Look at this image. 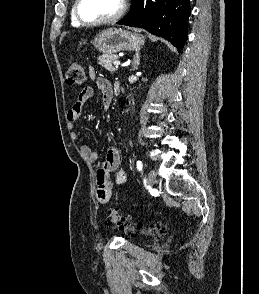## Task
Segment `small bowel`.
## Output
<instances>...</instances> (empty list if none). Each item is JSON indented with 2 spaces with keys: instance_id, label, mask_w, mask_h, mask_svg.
<instances>
[{
  "instance_id": "1",
  "label": "small bowel",
  "mask_w": 259,
  "mask_h": 294,
  "mask_svg": "<svg viewBox=\"0 0 259 294\" xmlns=\"http://www.w3.org/2000/svg\"><path fill=\"white\" fill-rule=\"evenodd\" d=\"M91 79L96 80L97 87L101 93V102L105 109H108L113 96L119 93L121 86L120 83L112 85L107 79L96 78L95 71L89 70ZM94 95V89L90 86L83 88L77 96L76 101L67 113V120L70 124H74L89 99ZM72 137L76 138L77 134L72 133ZM80 149L89 160L94 163L96 161L95 151L86 144L80 146ZM120 152L116 146H111L106 154V159L103 165L96 171V197L99 203L106 204L112 196L113 182L123 184L127 181V174L124 170L119 169Z\"/></svg>"
}]
</instances>
